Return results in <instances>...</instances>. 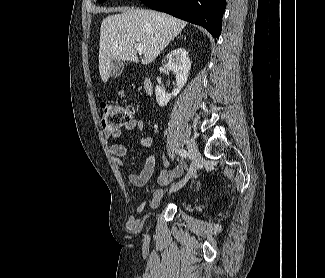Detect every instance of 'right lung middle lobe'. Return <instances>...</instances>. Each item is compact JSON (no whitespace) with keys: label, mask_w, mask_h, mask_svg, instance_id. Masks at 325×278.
Masks as SVG:
<instances>
[{"label":"right lung middle lobe","mask_w":325,"mask_h":278,"mask_svg":"<svg viewBox=\"0 0 325 278\" xmlns=\"http://www.w3.org/2000/svg\"><path fill=\"white\" fill-rule=\"evenodd\" d=\"M105 0H98V2H100V3H102V2H104Z\"/></svg>","instance_id":"right-lung-middle-lobe-1"}]
</instances>
